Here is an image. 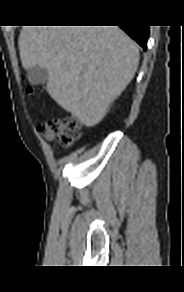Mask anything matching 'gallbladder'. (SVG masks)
<instances>
[{"label":"gallbladder","mask_w":184,"mask_h":292,"mask_svg":"<svg viewBox=\"0 0 184 292\" xmlns=\"http://www.w3.org/2000/svg\"><path fill=\"white\" fill-rule=\"evenodd\" d=\"M28 78L33 85L44 84L48 80V71L39 66L27 70Z\"/></svg>","instance_id":"1"}]
</instances>
